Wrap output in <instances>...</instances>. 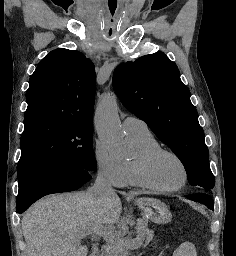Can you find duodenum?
<instances>
[{"instance_id":"duodenum-1","label":"duodenum","mask_w":236,"mask_h":256,"mask_svg":"<svg viewBox=\"0 0 236 256\" xmlns=\"http://www.w3.org/2000/svg\"><path fill=\"white\" fill-rule=\"evenodd\" d=\"M105 255H106V251H105L104 248L103 249H99L97 251V253L95 254V256H105Z\"/></svg>"}]
</instances>
